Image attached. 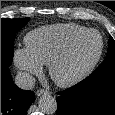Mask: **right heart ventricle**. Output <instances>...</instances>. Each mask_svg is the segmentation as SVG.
<instances>
[{"instance_id":"e07e8e85","label":"right heart ventricle","mask_w":115,"mask_h":115,"mask_svg":"<svg viewBox=\"0 0 115 115\" xmlns=\"http://www.w3.org/2000/svg\"><path fill=\"white\" fill-rule=\"evenodd\" d=\"M86 29V27L75 23L42 26L26 35V49L41 65L49 64L74 36Z\"/></svg>"}]
</instances>
